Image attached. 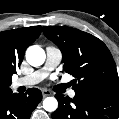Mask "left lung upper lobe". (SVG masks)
Returning <instances> with one entry per match:
<instances>
[{
    "label": "left lung upper lobe",
    "mask_w": 119,
    "mask_h": 119,
    "mask_svg": "<svg viewBox=\"0 0 119 119\" xmlns=\"http://www.w3.org/2000/svg\"><path fill=\"white\" fill-rule=\"evenodd\" d=\"M43 33L60 48L65 72L75 77V92L119 98L116 65L100 39L66 26H45Z\"/></svg>",
    "instance_id": "5c2ea615"
}]
</instances>
